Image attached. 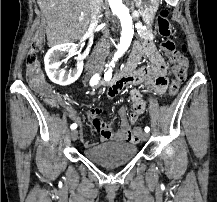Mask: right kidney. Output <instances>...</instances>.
Segmentation results:
<instances>
[{"label":"right kidney","mask_w":217,"mask_h":202,"mask_svg":"<svg viewBox=\"0 0 217 202\" xmlns=\"http://www.w3.org/2000/svg\"><path fill=\"white\" fill-rule=\"evenodd\" d=\"M65 52H69V56L79 54L75 44H60V46H54V48L48 50L44 58L45 70L48 78H50L52 82L61 84V86H69V84L76 82V80L80 78L83 70V60H81V58H76L78 66L75 70H72V72L65 74L63 70H59V66L62 64L60 58H63Z\"/></svg>","instance_id":"obj_1"}]
</instances>
